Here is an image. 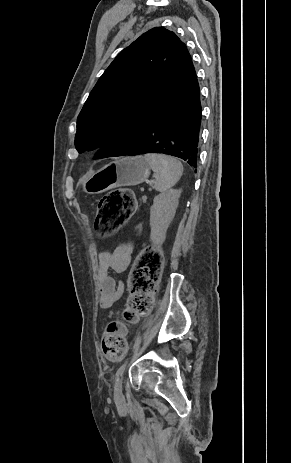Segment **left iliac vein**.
Masks as SVG:
<instances>
[{"mask_svg":"<svg viewBox=\"0 0 291 463\" xmlns=\"http://www.w3.org/2000/svg\"><path fill=\"white\" fill-rule=\"evenodd\" d=\"M122 387H123V374L115 381V384H114V401L117 406H122L124 403Z\"/></svg>","mask_w":291,"mask_h":463,"instance_id":"left-iliac-vein-1","label":"left iliac vein"}]
</instances>
